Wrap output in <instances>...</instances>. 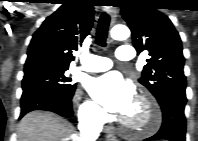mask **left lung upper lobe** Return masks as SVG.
Segmentation results:
<instances>
[{
  "label": "left lung upper lobe",
  "mask_w": 198,
  "mask_h": 141,
  "mask_svg": "<svg viewBox=\"0 0 198 141\" xmlns=\"http://www.w3.org/2000/svg\"><path fill=\"white\" fill-rule=\"evenodd\" d=\"M155 6L152 0H128L121 7V15L131 29L137 52L147 50L151 56L139 82L160 103L171 96L186 97V77L180 36Z\"/></svg>",
  "instance_id": "left-lung-upper-lobe-1"
}]
</instances>
